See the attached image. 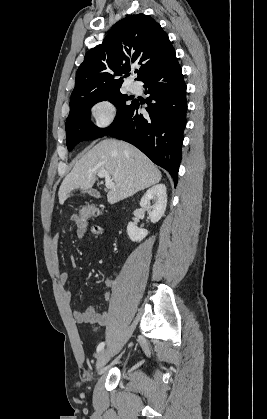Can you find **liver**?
I'll use <instances>...</instances> for the list:
<instances>
[{"instance_id":"6515ba94","label":"liver","mask_w":267,"mask_h":419,"mask_svg":"<svg viewBox=\"0 0 267 419\" xmlns=\"http://www.w3.org/2000/svg\"><path fill=\"white\" fill-rule=\"evenodd\" d=\"M101 170H106L115 182L107 194L110 204L149 188L162 177L160 170L133 145L114 139L102 140L64 178L58 192L59 203L63 204L73 190L90 189Z\"/></svg>"}]
</instances>
